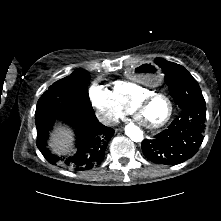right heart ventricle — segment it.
Returning a JSON list of instances; mask_svg holds the SVG:
<instances>
[{"label": "right heart ventricle", "instance_id": "obj_1", "mask_svg": "<svg viewBox=\"0 0 221 221\" xmlns=\"http://www.w3.org/2000/svg\"><path fill=\"white\" fill-rule=\"evenodd\" d=\"M152 92L151 89L135 81L117 80L112 85V93L126 109L133 108L140 98Z\"/></svg>", "mask_w": 221, "mask_h": 221}]
</instances>
